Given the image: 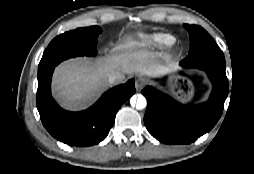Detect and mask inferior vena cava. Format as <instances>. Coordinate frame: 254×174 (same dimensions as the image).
<instances>
[{
	"mask_svg": "<svg viewBox=\"0 0 254 174\" xmlns=\"http://www.w3.org/2000/svg\"><path fill=\"white\" fill-rule=\"evenodd\" d=\"M121 79L120 74H113L109 77L108 81L110 84L119 83Z\"/></svg>",
	"mask_w": 254,
	"mask_h": 174,
	"instance_id": "inferior-vena-cava-1",
	"label": "inferior vena cava"
}]
</instances>
